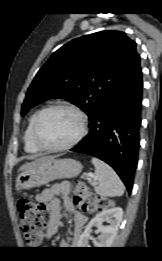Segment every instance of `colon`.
I'll return each mask as SVG.
<instances>
[{
    "instance_id": "obj_1",
    "label": "colon",
    "mask_w": 162,
    "mask_h": 261,
    "mask_svg": "<svg viewBox=\"0 0 162 261\" xmlns=\"http://www.w3.org/2000/svg\"><path fill=\"white\" fill-rule=\"evenodd\" d=\"M74 203L86 213L106 209L111 205L108 198L96 196L85 183L79 182L74 190ZM20 229L28 245H39L44 237L42 209L31 198L22 197L17 202Z\"/></svg>"
}]
</instances>
